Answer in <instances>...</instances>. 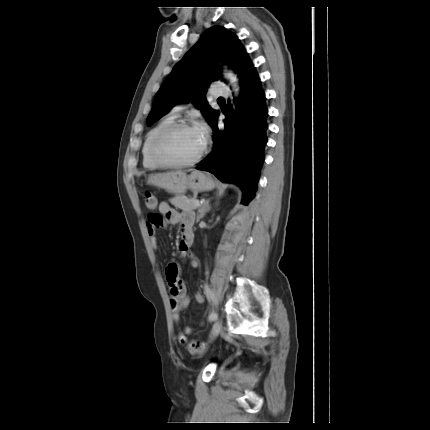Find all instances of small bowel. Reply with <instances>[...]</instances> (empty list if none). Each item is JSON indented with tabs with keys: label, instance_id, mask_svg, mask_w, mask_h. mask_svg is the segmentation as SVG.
I'll return each instance as SVG.
<instances>
[{
	"label": "small bowel",
	"instance_id": "obj_1",
	"mask_svg": "<svg viewBox=\"0 0 430 430\" xmlns=\"http://www.w3.org/2000/svg\"><path fill=\"white\" fill-rule=\"evenodd\" d=\"M160 215H151L147 220V232L150 237L151 246L154 250L157 249V228L165 227L167 224L179 225L181 229V240L179 243L180 256L189 259V265L192 268H198L199 260L190 253L189 249L194 240L192 224L194 214L191 211H178L172 208L169 203L161 202L159 204ZM157 217L159 220H157ZM179 265L171 263L166 268V279L169 285L171 295L172 317L175 323L179 322L181 312L189 305V297L186 293V287L183 281L179 278ZM197 303H203L204 297L201 293L195 295ZM193 332V328L184 327L179 331L177 337L180 343L186 342V336Z\"/></svg>",
	"mask_w": 430,
	"mask_h": 430
}]
</instances>
